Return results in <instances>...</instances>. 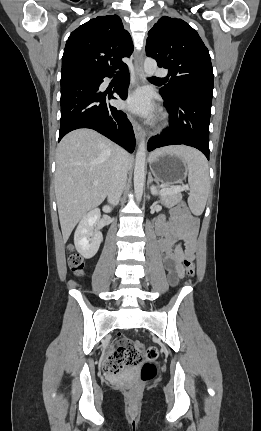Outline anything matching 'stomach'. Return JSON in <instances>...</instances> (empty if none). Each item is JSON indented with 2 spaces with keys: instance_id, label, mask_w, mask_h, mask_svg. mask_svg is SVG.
<instances>
[{
  "instance_id": "1",
  "label": "stomach",
  "mask_w": 261,
  "mask_h": 431,
  "mask_svg": "<svg viewBox=\"0 0 261 431\" xmlns=\"http://www.w3.org/2000/svg\"><path fill=\"white\" fill-rule=\"evenodd\" d=\"M150 169L157 181L164 184L182 182L188 173L187 165L173 154H159L150 158Z\"/></svg>"
}]
</instances>
